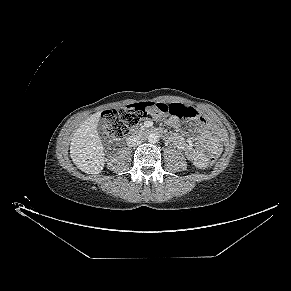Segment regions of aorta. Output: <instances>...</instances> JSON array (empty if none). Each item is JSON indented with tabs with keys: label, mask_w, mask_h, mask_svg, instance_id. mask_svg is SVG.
Instances as JSON below:
<instances>
[{
	"label": "aorta",
	"mask_w": 291,
	"mask_h": 291,
	"mask_svg": "<svg viewBox=\"0 0 291 291\" xmlns=\"http://www.w3.org/2000/svg\"><path fill=\"white\" fill-rule=\"evenodd\" d=\"M159 140V137L156 133H151L149 136H148V141L150 143H157Z\"/></svg>",
	"instance_id": "762f6f07"
}]
</instances>
